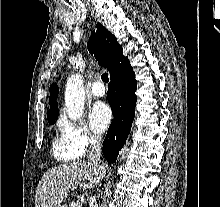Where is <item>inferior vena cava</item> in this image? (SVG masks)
<instances>
[{
  "label": "inferior vena cava",
  "instance_id": "obj_1",
  "mask_svg": "<svg viewBox=\"0 0 220 207\" xmlns=\"http://www.w3.org/2000/svg\"><path fill=\"white\" fill-rule=\"evenodd\" d=\"M91 146L88 156V162L99 166L101 158V137L99 135H92L90 138Z\"/></svg>",
  "mask_w": 220,
  "mask_h": 207
}]
</instances>
